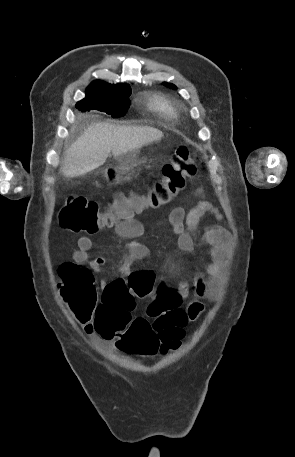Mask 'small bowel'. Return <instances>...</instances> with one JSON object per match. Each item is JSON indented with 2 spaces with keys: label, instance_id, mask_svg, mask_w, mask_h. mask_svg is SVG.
Segmentation results:
<instances>
[{
  "label": "small bowel",
  "instance_id": "c3829d8e",
  "mask_svg": "<svg viewBox=\"0 0 295 457\" xmlns=\"http://www.w3.org/2000/svg\"><path fill=\"white\" fill-rule=\"evenodd\" d=\"M196 193L200 195L202 194V190L198 189ZM207 214L215 215L221 219L216 208L208 201H200L188 212L181 207L171 210L169 221L173 232L178 235V249L181 252L189 253L194 250L196 245L195 232L201 219ZM114 233L121 239L131 240L128 244L129 253L124 258L120 267L122 274L128 275L131 266L145 259L149 254L148 247L136 240L144 234V226L139 220L130 217L116 224L114 226ZM229 239L230 235L228 231L220 225L207 228L200 238V242L208 247L207 253L210 261L205 265L203 271L196 275L192 285L188 282H181L173 294V299L179 304L188 298L191 291L196 297V300L192 301L185 309L187 324L194 322L204 312L205 307L201 300L211 299L215 295L226 261ZM92 245L93 242L90 237H80L78 240V249L74 252L73 258L76 263H87L94 271H99L105 265L106 260L103 257L89 259V251ZM107 285V282L102 281V288H105ZM77 320L86 333L90 334L94 332L92 321Z\"/></svg>",
  "mask_w": 295,
  "mask_h": 457
}]
</instances>
